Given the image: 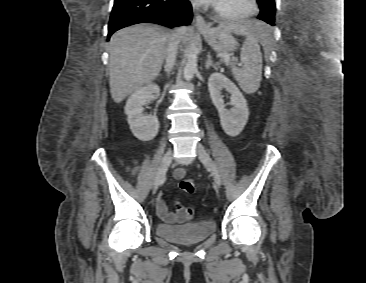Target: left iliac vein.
Listing matches in <instances>:
<instances>
[{"label":"left iliac vein","mask_w":366,"mask_h":283,"mask_svg":"<svg viewBox=\"0 0 366 283\" xmlns=\"http://www.w3.org/2000/svg\"><path fill=\"white\" fill-rule=\"evenodd\" d=\"M196 152H197V156H198L199 160L203 164H205L208 167V169L210 170L216 185L218 187H220L221 186L220 173L218 171V168H217L215 162L210 157L209 153L206 151V149L204 148V146L202 144H197Z\"/></svg>","instance_id":"4c4485c4"}]
</instances>
